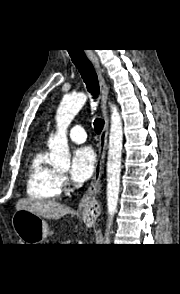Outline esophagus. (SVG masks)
<instances>
[{"label": "esophagus", "instance_id": "34e87169", "mask_svg": "<svg viewBox=\"0 0 180 294\" xmlns=\"http://www.w3.org/2000/svg\"><path fill=\"white\" fill-rule=\"evenodd\" d=\"M86 55L92 65L94 66L100 84L101 90V111L103 114V118L105 121L103 130L100 134L99 140V154L97 163L95 165L94 174L92 177V181L82 198V213L83 217L88 222H94L101 214V205L98 200V194L101 186V178L104 169V160L107 150V139H108V130H109V118L107 114V99H108V86L103 77L102 69L100 66V62L97 56L94 54L92 50H86Z\"/></svg>", "mask_w": 180, "mask_h": 294}]
</instances>
